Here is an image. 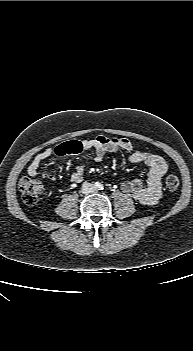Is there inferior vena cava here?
Listing matches in <instances>:
<instances>
[{
	"label": "inferior vena cava",
	"mask_w": 193,
	"mask_h": 351,
	"mask_svg": "<svg viewBox=\"0 0 193 351\" xmlns=\"http://www.w3.org/2000/svg\"><path fill=\"white\" fill-rule=\"evenodd\" d=\"M94 191H95V187L93 184L88 182H84L82 184L81 192L83 194H90V193H93Z\"/></svg>",
	"instance_id": "inferior-vena-cava-1"
}]
</instances>
